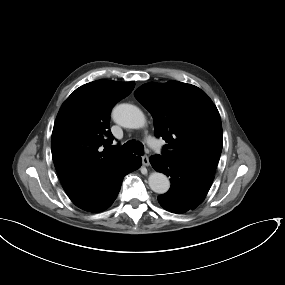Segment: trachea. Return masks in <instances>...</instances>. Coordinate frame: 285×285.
I'll return each mask as SVG.
<instances>
[{
  "label": "trachea",
  "mask_w": 285,
  "mask_h": 285,
  "mask_svg": "<svg viewBox=\"0 0 285 285\" xmlns=\"http://www.w3.org/2000/svg\"><path fill=\"white\" fill-rule=\"evenodd\" d=\"M123 153H135L136 155H143L144 154V146L140 142L135 141H128L126 142L120 150Z\"/></svg>",
  "instance_id": "1"
}]
</instances>
